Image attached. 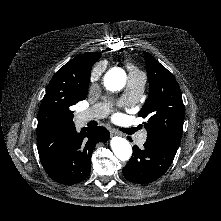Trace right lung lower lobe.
<instances>
[{
  "mask_svg": "<svg viewBox=\"0 0 221 221\" xmlns=\"http://www.w3.org/2000/svg\"><path fill=\"white\" fill-rule=\"evenodd\" d=\"M110 133L104 127L74 129L63 140L60 151L47 174L54 181L71 185L86 179L91 170V155L98 142H106Z\"/></svg>",
  "mask_w": 221,
  "mask_h": 221,
  "instance_id": "right-lung-lower-lobe-1",
  "label": "right lung lower lobe"
}]
</instances>
